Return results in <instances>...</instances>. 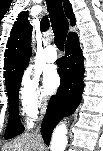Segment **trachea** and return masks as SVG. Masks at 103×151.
<instances>
[{
	"instance_id": "1",
	"label": "trachea",
	"mask_w": 103,
	"mask_h": 151,
	"mask_svg": "<svg viewBox=\"0 0 103 151\" xmlns=\"http://www.w3.org/2000/svg\"><path fill=\"white\" fill-rule=\"evenodd\" d=\"M46 4L55 35V45L63 51L69 23L64 14L62 2L61 0H46Z\"/></svg>"
}]
</instances>
